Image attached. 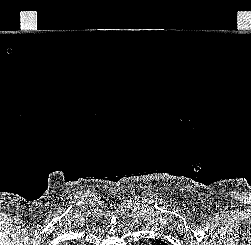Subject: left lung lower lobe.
Instances as JSON below:
<instances>
[{
  "label": "left lung lower lobe",
  "mask_w": 251,
  "mask_h": 245,
  "mask_svg": "<svg viewBox=\"0 0 251 245\" xmlns=\"http://www.w3.org/2000/svg\"><path fill=\"white\" fill-rule=\"evenodd\" d=\"M153 245H167V244H165V242H163L161 239L160 240L155 239V243H153Z\"/></svg>",
  "instance_id": "left-lung-lower-lobe-1"
}]
</instances>
